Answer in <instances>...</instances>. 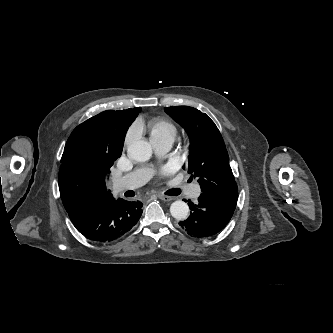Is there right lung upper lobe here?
<instances>
[{
	"mask_svg": "<svg viewBox=\"0 0 333 333\" xmlns=\"http://www.w3.org/2000/svg\"><path fill=\"white\" fill-rule=\"evenodd\" d=\"M139 110L134 108L122 112L134 121ZM86 124L87 121L73 130L61 159L58 183L68 213L113 199L111 191L106 188L110 170L100 169L93 162L92 145L84 136Z\"/></svg>",
	"mask_w": 333,
	"mask_h": 333,
	"instance_id": "right-lung-upper-lobe-1",
	"label": "right lung upper lobe"
}]
</instances>
